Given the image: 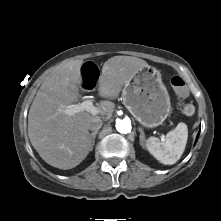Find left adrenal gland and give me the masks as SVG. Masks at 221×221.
I'll list each match as a JSON object with an SVG mask.
<instances>
[{"label": "left adrenal gland", "instance_id": "1", "mask_svg": "<svg viewBox=\"0 0 221 221\" xmlns=\"http://www.w3.org/2000/svg\"><path fill=\"white\" fill-rule=\"evenodd\" d=\"M138 130H139V132H140V136H139L140 145L144 148L145 134H144V131H143L142 128H139Z\"/></svg>", "mask_w": 221, "mask_h": 221}]
</instances>
